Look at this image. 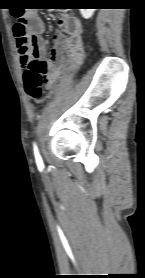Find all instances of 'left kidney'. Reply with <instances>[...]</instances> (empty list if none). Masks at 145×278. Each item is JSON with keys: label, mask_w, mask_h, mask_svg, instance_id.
<instances>
[{"label": "left kidney", "mask_w": 145, "mask_h": 278, "mask_svg": "<svg viewBox=\"0 0 145 278\" xmlns=\"http://www.w3.org/2000/svg\"><path fill=\"white\" fill-rule=\"evenodd\" d=\"M95 10L96 9H80V13L83 16V18L89 19L90 17H92Z\"/></svg>", "instance_id": "obj_1"}]
</instances>
